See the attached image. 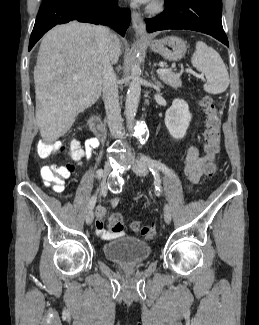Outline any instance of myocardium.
I'll list each match as a JSON object with an SVG mask.
<instances>
[{
  "label": "myocardium",
  "instance_id": "myocardium-1",
  "mask_svg": "<svg viewBox=\"0 0 259 325\" xmlns=\"http://www.w3.org/2000/svg\"><path fill=\"white\" fill-rule=\"evenodd\" d=\"M164 9V4L161 0H155L148 8V11L152 14H158Z\"/></svg>",
  "mask_w": 259,
  "mask_h": 325
}]
</instances>
